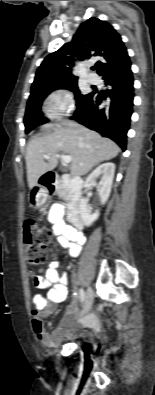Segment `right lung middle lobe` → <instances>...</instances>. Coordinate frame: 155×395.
<instances>
[{"label": "right lung middle lobe", "mask_w": 155, "mask_h": 395, "mask_svg": "<svg viewBox=\"0 0 155 395\" xmlns=\"http://www.w3.org/2000/svg\"><path fill=\"white\" fill-rule=\"evenodd\" d=\"M55 89H69L72 90L75 95H76V100L78 102L84 98L85 95H81L78 86H77V80H70V81H65L61 82L58 84L50 85L42 90H40L38 93L33 95L32 97L29 98L28 103H27V108H26V113H25V118H24V124H25V132L28 133L30 132L33 128H35L38 125L46 123L48 120L43 116L41 112V105L44 100V98L53 90Z\"/></svg>", "instance_id": "dd1d6c3e"}]
</instances>
